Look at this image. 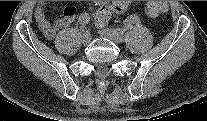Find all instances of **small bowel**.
Here are the masks:
<instances>
[{
  "instance_id": "obj_1",
  "label": "small bowel",
  "mask_w": 207,
  "mask_h": 121,
  "mask_svg": "<svg viewBox=\"0 0 207 121\" xmlns=\"http://www.w3.org/2000/svg\"><path fill=\"white\" fill-rule=\"evenodd\" d=\"M103 4H109L107 2H102ZM116 7L115 14H121L125 11L127 7V2L120 1L111 4ZM76 14V9L73 6H67L64 9L63 15L57 18L54 22H50L46 17V2L41 1L38 3L35 10V20L37 22L38 28L42 32L45 38L51 40L55 37L56 33L67 27L74 19Z\"/></svg>"
}]
</instances>
